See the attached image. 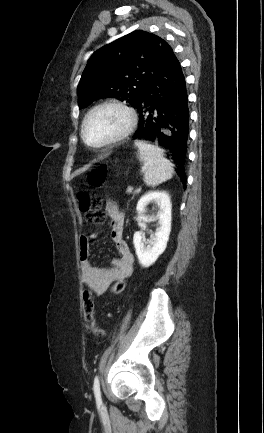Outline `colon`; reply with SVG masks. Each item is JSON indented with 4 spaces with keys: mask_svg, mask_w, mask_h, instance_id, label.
<instances>
[{
    "mask_svg": "<svg viewBox=\"0 0 264 433\" xmlns=\"http://www.w3.org/2000/svg\"><path fill=\"white\" fill-rule=\"evenodd\" d=\"M107 175V167L99 165L91 170L88 176L89 184L92 187H100L105 182ZM79 206L85 214L86 220L90 224H100L105 221L106 214L102 210L101 198L88 192H79ZM126 287L124 281H117L111 287L113 294H121ZM83 312L85 323L89 331L95 336L102 337L105 331L96 326L94 320V299L90 289H86L83 293Z\"/></svg>",
    "mask_w": 264,
    "mask_h": 433,
    "instance_id": "1",
    "label": "colon"
}]
</instances>
